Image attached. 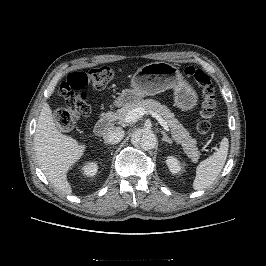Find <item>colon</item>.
I'll list each match as a JSON object with an SVG mask.
<instances>
[{"label": "colon", "instance_id": "obj_1", "mask_svg": "<svg viewBox=\"0 0 266 266\" xmlns=\"http://www.w3.org/2000/svg\"><path fill=\"white\" fill-rule=\"evenodd\" d=\"M185 74L194 79L202 92L201 120L197 125L198 132L205 136L210 130V120L214 115L216 97L210 77L201 69L189 66ZM113 71L108 66H99L89 71L70 74L62 82L59 94L62 105L55 114L56 123L61 129H72L82 118H89L92 113L90 95L86 90L89 83L94 88L103 89L113 80Z\"/></svg>", "mask_w": 266, "mask_h": 266}]
</instances>
